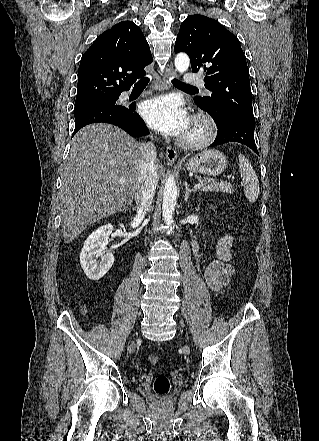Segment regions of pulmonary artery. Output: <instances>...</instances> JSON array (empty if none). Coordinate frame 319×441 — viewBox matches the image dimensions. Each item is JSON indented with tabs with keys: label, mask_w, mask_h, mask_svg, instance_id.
<instances>
[{
	"label": "pulmonary artery",
	"mask_w": 319,
	"mask_h": 441,
	"mask_svg": "<svg viewBox=\"0 0 319 441\" xmlns=\"http://www.w3.org/2000/svg\"><path fill=\"white\" fill-rule=\"evenodd\" d=\"M184 81H185V84L190 85V86L204 87L203 78L198 74L188 73V74H186Z\"/></svg>",
	"instance_id": "pulmonary-artery-1"
}]
</instances>
